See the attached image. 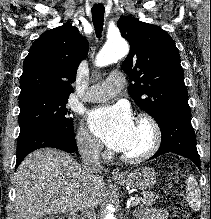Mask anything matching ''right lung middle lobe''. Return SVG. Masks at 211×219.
Instances as JSON below:
<instances>
[{"label": "right lung middle lobe", "instance_id": "dd1d6c3e", "mask_svg": "<svg viewBox=\"0 0 211 219\" xmlns=\"http://www.w3.org/2000/svg\"><path fill=\"white\" fill-rule=\"evenodd\" d=\"M67 102V97H34L19 101L20 134L41 126L73 132V119L68 117Z\"/></svg>", "mask_w": 211, "mask_h": 219}]
</instances>
